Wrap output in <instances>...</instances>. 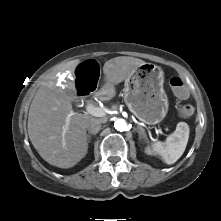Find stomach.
Returning a JSON list of instances; mask_svg holds the SVG:
<instances>
[{"instance_id":"1","label":"stomach","mask_w":221,"mask_h":221,"mask_svg":"<svg viewBox=\"0 0 221 221\" xmlns=\"http://www.w3.org/2000/svg\"><path fill=\"white\" fill-rule=\"evenodd\" d=\"M163 83V71L152 63L138 66L125 80L124 101L140 121L154 125L165 118L169 103Z\"/></svg>"}]
</instances>
